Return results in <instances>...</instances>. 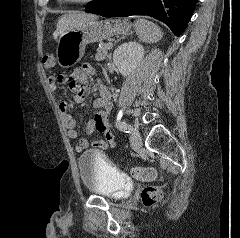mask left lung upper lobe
Segmentation results:
<instances>
[{
	"label": "left lung upper lobe",
	"instance_id": "1",
	"mask_svg": "<svg viewBox=\"0 0 240 238\" xmlns=\"http://www.w3.org/2000/svg\"><path fill=\"white\" fill-rule=\"evenodd\" d=\"M99 1H100V0H94V1H92V2H90V3H88V4L86 5V9L89 8V7H93V6L96 5Z\"/></svg>",
	"mask_w": 240,
	"mask_h": 238
}]
</instances>
